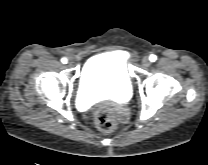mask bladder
<instances>
[{
  "mask_svg": "<svg viewBox=\"0 0 208 165\" xmlns=\"http://www.w3.org/2000/svg\"><path fill=\"white\" fill-rule=\"evenodd\" d=\"M131 94V77L121 52L99 53L85 62L79 80V95L82 100L112 99L123 103Z\"/></svg>",
  "mask_w": 208,
  "mask_h": 165,
  "instance_id": "31cf9c89",
  "label": "bladder"
}]
</instances>
